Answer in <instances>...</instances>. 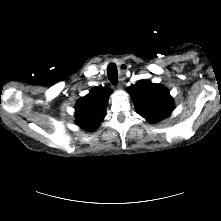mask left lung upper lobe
<instances>
[{"label": "left lung upper lobe", "mask_w": 221, "mask_h": 221, "mask_svg": "<svg viewBox=\"0 0 221 221\" xmlns=\"http://www.w3.org/2000/svg\"><path fill=\"white\" fill-rule=\"evenodd\" d=\"M137 113L151 123L158 122L170 115L173 110L169 91L161 84L140 80L128 88Z\"/></svg>", "instance_id": "left-lung-upper-lobe-1"}]
</instances>
